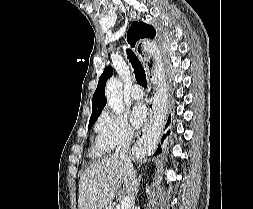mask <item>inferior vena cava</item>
<instances>
[{
  "label": "inferior vena cava",
  "instance_id": "obj_1",
  "mask_svg": "<svg viewBox=\"0 0 253 209\" xmlns=\"http://www.w3.org/2000/svg\"><path fill=\"white\" fill-rule=\"evenodd\" d=\"M132 138H133V132L128 131L124 135V137L121 139L119 145L117 146L116 155L124 159V161L127 163L128 173L130 177V193H131L130 197L133 203L135 195H136V185H135L136 179H135V172L133 170V165L131 164L129 157L127 156V152L129 150Z\"/></svg>",
  "mask_w": 253,
  "mask_h": 209
}]
</instances>
